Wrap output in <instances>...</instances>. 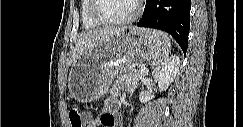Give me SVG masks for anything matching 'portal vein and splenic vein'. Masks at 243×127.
I'll list each match as a JSON object with an SVG mask.
<instances>
[{"label": "portal vein and splenic vein", "mask_w": 243, "mask_h": 127, "mask_svg": "<svg viewBox=\"0 0 243 127\" xmlns=\"http://www.w3.org/2000/svg\"><path fill=\"white\" fill-rule=\"evenodd\" d=\"M147 70L145 68L141 69V73L146 74Z\"/></svg>", "instance_id": "obj_1"}]
</instances>
